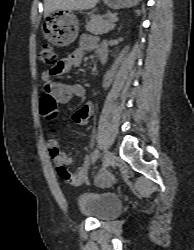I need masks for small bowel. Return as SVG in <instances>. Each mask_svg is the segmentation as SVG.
Instances as JSON below:
<instances>
[{
    "label": "small bowel",
    "mask_w": 194,
    "mask_h": 250,
    "mask_svg": "<svg viewBox=\"0 0 194 250\" xmlns=\"http://www.w3.org/2000/svg\"><path fill=\"white\" fill-rule=\"evenodd\" d=\"M92 50L96 51L99 58L101 54L106 55V49L98 44L97 39L92 35L85 34L80 38L78 47L71 54L62 59L52 69L43 72L42 79L44 89L49 92L58 103L64 104L72 98H83L85 96V89L80 84H52L49 82L50 76L52 74H63L77 68L81 64L85 53ZM94 109V103L87 102L74 113V122L79 125H86L89 122ZM54 119L55 118L46 120L52 121ZM48 138V149L55 167L57 170L59 168H65L69 174L68 177H64L58 172L60 176L72 185H80L86 182L88 179L91 157L86 155L80 167L75 172H70L67 168L72 164L71 155L59 150L55 132L50 131Z\"/></svg>",
    "instance_id": "c3829d8e"
}]
</instances>
